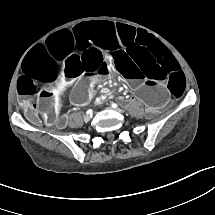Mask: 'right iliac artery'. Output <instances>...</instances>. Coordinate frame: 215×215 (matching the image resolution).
I'll list each match as a JSON object with an SVG mask.
<instances>
[{"label":"right iliac artery","instance_id":"right-iliac-artery-1","mask_svg":"<svg viewBox=\"0 0 215 215\" xmlns=\"http://www.w3.org/2000/svg\"><path fill=\"white\" fill-rule=\"evenodd\" d=\"M89 113H92V110H88V113H87V114H89Z\"/></svg>","mask_w":215,"mask_h":215}]
</instances>
